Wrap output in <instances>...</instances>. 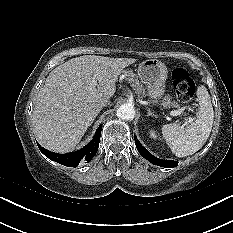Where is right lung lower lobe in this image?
Wrapping results in <instances>:
<instances>
[{
    "instance_id": "1",
    "label": "right lung lower lobe",
    "mask_w": 233,
    "mask_h": 233,
    "mask_svg": "<svg viewBox=\"0 0 233 233\" xmlns=\"http://www.w3.org/2000/svg\"><path fill=\"white\" fill-rule=\"evenodd\" d=\"M100 135H101V125L96 130L93 139L87 146L83 147L78 151L67 154H57L54 152H50L44 149L43 147H41L39 144L38 147L40 151L49 159L68 167H77L81 160L89 162L95 156L100 142Z\"/></svg>"
}]
</instances>
